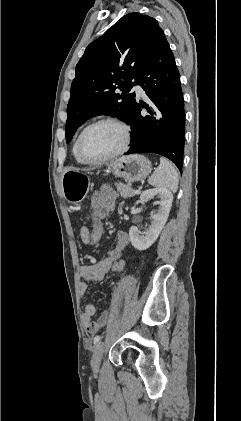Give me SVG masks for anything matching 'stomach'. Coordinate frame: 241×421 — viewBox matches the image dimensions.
<instances>
[{
  "label": "stomach",
  "mask_w": 241,
  "mask_h": 421,
  "mask_svg": "<svg viewBox=\"0 0 241 421\" xmlns=\"http://www.w3.org/2000/svg\"><path fill=\"white\" fill-rule=\"evenodd\" d=\"M110 169L117 177L135 182L144 180L152 170L151 162L144 156L134 154L122 156L110 164ZM64 198L69 203H80L90 189L88 175L76 168L65 170L61 179Z\"/></svg>",
  "instance_id": "0dacf381"
}]
</instances>
